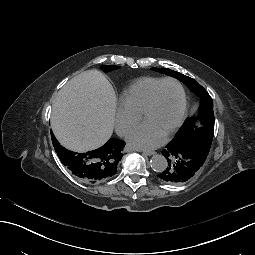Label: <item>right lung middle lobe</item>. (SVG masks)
I'll use <instances>...</instances> for the list:
<instances>
[{"label":"right lung middle lobe","mask_w":255,"mask_h":255,"mask_svg":"<svg viewBox=\"0 0 255 255\" xmlns=\"http://www.w3.org/2000/svg\"><path fill=\"white\" fill-rule=\"evenodd\" d=\"M105 72L112 71L114 69H118L119 66H112V65H103L101 67Z\"/></svg>","instance_id":"dd1d6c3e"}]
</instances>
